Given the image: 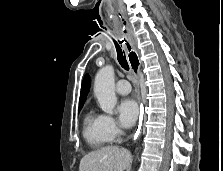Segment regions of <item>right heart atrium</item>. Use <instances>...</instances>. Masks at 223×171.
Returning a JSON list of instances; mask_svg holds the SVG:
<instances>
[{"label":"right heart atrium","instance_id":"1","mask_svg":"<svg viewBox=\"0 0 223 171\" xmlns=\"http://www.w3.org/2000/svg\"><path fill=\"white\" fill-rule=\"evenodd\" d=\"M102 117L103 129L110 140H114L121 132V129L114 117L104 114Z\"/></svg>","mask_w":223,"mask_h":171}]
</instances>
